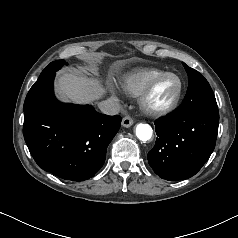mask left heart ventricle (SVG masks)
<instances>
[{
	"mask_svg": "<svg viewBox=\"0 0 238 238\" xmlns=\"http://www.w3.org/2000/svg\"><path fill=\"white\" fill-rule=\"evenodd\" d=\"M178 87L179 82L175 77L169 76L163 78L156 85L151 95L150 103L156 106L168 103L176 94Z\"/></svg>",
	"mask_w": 238,
	"mask_h": 238,
	"instance_id": "1",
	"label": "left heart ventricle"
}]
</instances>
